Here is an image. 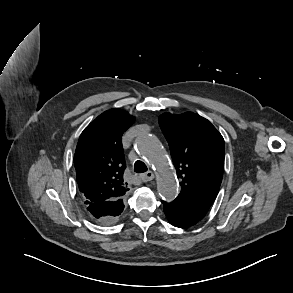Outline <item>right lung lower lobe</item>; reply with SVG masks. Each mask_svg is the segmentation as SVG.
I'll list each match as a JSON object with an SVG mask.
<instances>
[{
  "label": "right lung lower lobe",
  "instance_id": "obj_1",
  "mask_svg": "<svg viewBox=\"0 0 293 293\" xmlns=\"http://www.w3.org/2000/svg\"><path fill=\"white\" fill-rule=\"evenodd\" d=\"M123 209V199L116 201L96 202L87 205V210L90 216L103 224L113 223L122 213Z\"/></svg>",
  "mask_w": 293,
  "mask_h": 293
}]
</instances>
